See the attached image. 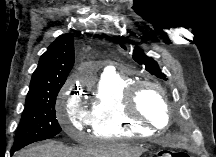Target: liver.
Instances as JSON below:
<instances>
[{
	"instance_id": "obj_1",
	"label": "liver",
	"mask_w": 216,
	"mask_h": 157,
	"mask_svg": "<svg viewBox=\"0 0 216 157\" xmlns=\"http://www.w3.org/2000/svg\"><path fill=\"white\" fill-rule=\"evenodd\" d=\"M145 150L129 144L99 142L90 147H65L56 142L38 144L17 157H139Z\"/></svg>"
}]
</instances>
